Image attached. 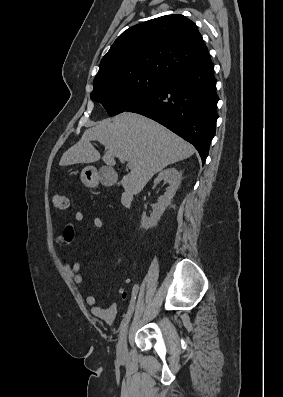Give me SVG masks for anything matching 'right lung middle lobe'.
I'll return each instance as SVG.
<instances>
[{"instance_id": "obj_1", "label": "right lung middle lobe", "mask_w": 283, "mask_h": 397, "mask_svg": "<svg viewBox=\"0 0 283 397\" xmlns=\"http://www.w3.org/2000/svg\"><path fill=\"white\" fill-rule=\"evenodd\" d=\"M164 81L147 75L97 81L91 99L101 103L108 114L114 116L151 96Z\"/></svg>"}]
</instances>
